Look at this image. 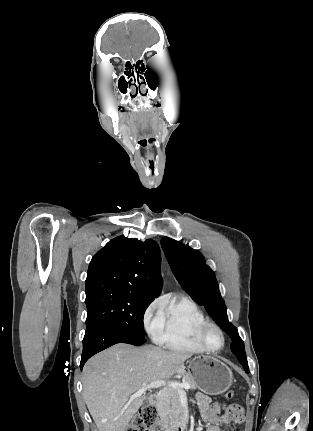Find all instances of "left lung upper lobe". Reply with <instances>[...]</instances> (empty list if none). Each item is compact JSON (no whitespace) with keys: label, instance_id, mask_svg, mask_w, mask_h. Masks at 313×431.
<instances>
[{"label":"left lung upper lobe","instance_id":"5c2ea615","mask_svg":"<svg viewBox=\"0 0 313 431\" xmlns=\"http://www.w3.org/2000/svg\"><path fill=\"white\" fill-rule=\"evenodd\" d=\"M161 246L178 282L194 301L205 306L213 320L231 337L233 354L249 372L244 342L237 328L228 321L214 272L205 264L203 255L169 237L161 239Z\"/></svg>","mask_w":313,"mask_h":431}]
</instances>
